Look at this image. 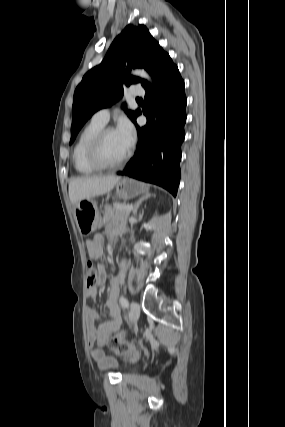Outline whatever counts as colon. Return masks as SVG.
Masks as SVG:
<instances>
[{
    "instance_id": "colon-1",
    "label": "colon",
    "mask_w": 285,
    "mask_h": 427,
    "mask_svg": "<svg viewBox=\"0 0 285 427\" xmlns=\"http://www.w3.org/2000/svg\"><path fill=\"white\" fill-rule=\"evenodd\" d=\"M97 282V271L91 262L87 264V281L86 285L88 288L95 286ZM110 349L115 351L117 354L126 357L129 361H135L137 359L136 349L124 338L122 333H118L108 342Z\"/></svg>"
}]
</instances>
